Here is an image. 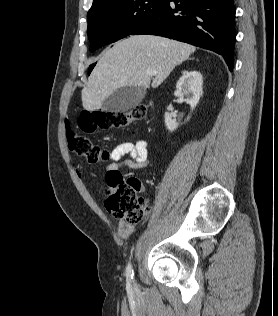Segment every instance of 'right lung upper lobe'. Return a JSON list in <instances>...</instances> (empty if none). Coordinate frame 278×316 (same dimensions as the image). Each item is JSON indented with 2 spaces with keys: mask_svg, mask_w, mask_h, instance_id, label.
Wrapping results in <instances>:
<instances>
[{
  "mask_svg": "<svg viewBox=\"0 0 278 316\" xmlns=\"http://www.w3.org/2000/svg\"><path fill=\"white\" fill-rule=\"evenodd\" d=\"M106 1H108V0H93V5H92V7H94V6H96V5H99V4H101V3H103V2H106Z\"/></svg>",
  "mask_w": 278,
  "mask_h": 316,
  "instance_id": "obj_1",
  "label": "right lung upper lobe"
}]
</instances>
